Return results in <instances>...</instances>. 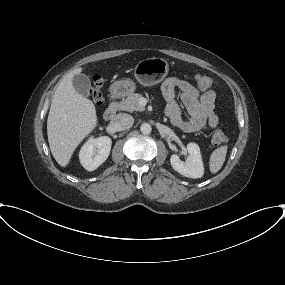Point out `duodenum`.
<instances>
[{"instance_id": "duodenum-1", "label": "duodenum", "mask_w": 285, "mask_h": 285, "mask_svg": "<svg viewBox=\"0 0 285 285\" xmlns=\"http://www.w3.org/2000/svg\"><path fill=\"white\" fill-rule=\"evenodd\" d=\"M117 112V104L116 102L112 99L111 102L108 104L106 107L104 113H103V118L106 121H110L113 119Z\"/></svg>"}]
</instances>
